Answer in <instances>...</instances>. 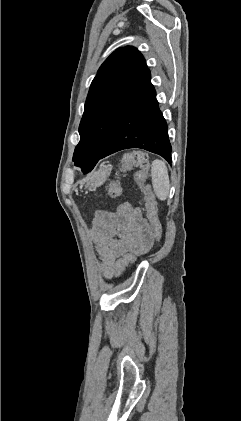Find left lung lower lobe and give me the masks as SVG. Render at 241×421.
<instances>
[{
	"mask_svg": "<svg viewBox=\"0 0 241 421\" xmlns=\"http://www.w3.org/2000/svg\"><path fill=\"white\" fill-rule=\"evenodd\" d=\"M150 78V71L146 69L107 147L95 162L84 164V173L91 171L100 159L128 148L145 149L162 156L168 163L172 162L167 123L158 107L156 92Z\"/></svg>",
	"mask_w": 241,
	"mask_h": 421,
	"instance_id": "1",
	"label": "left lung lower lobe"
}]
</instances>
